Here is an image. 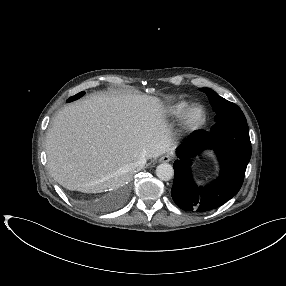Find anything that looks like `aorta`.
I'll return each mask as SVG.
<instances>
[{"label":"aorta","mask_w":286,"mask_h":286,"mask_svg":"<svg viewBox=\"0 0 286 286\" xmlns=\"http://www.w3.org/2000/svg\"><path fill=\"white\" fill-rule=\"evenodd\" d=\"M174 175L173 167L168 163H162L156 168V176L163 181L170 180Z\"/></svg>","instance_id":"762f6f07"}]
</instances>
